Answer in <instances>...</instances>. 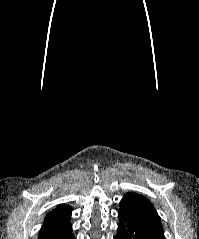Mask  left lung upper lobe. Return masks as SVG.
Returning <instances> with one entry per match:
<instances>
[{"label": "left lung upper lobe", "instance_id": "left-lung-upper-lobe-1", "mask_svg": "<svg viewBox=\"0 0 199 239\" xmlns=\"http://www.w3.org/2000/svg\"><path fill=\"white\" fill-rule=\"evenodd\" d=\"M120 211L132 214L148 222L164 235L159 215L146 197L136 193H127L120 202Z\"/></svg>", "mask_w": 199, "mask_h": 239}]
</instances>
